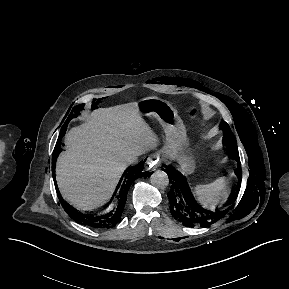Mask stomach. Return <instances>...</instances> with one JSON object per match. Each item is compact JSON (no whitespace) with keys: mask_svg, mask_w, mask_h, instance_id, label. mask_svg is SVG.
<instances>
[{"mask_svg":"<svg viewBox=\"0 0 289 289\" xmlns=\"http://www.w3.org/2000/svg\"><path fill=\"white\" fill-rule=\"evenodd\" d=\"M137 105L141 116H153L160 122L165 132L168 153L173 154L182 171L191 172L194 162L187 153L188 137L176 109L169 102L156 97L144 98Z\"/></svg>","mask_w":289,"mask_h":289,"instance_id":"0dacf381","label":"stomach"}]
</instances>
